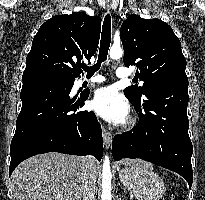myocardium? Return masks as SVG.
<instances>
[{"instance_id":"myocardium-1","label":"myocardium","mask_w":205,"mask_h":200,"mask_svg":"<svg viewBox=\"0 0 205 200\" xmlns=\"http://www.w3.org/2000/svg\"><path fill=\"white\" fill-rule=\"evenodd\" d=\"M135 125H136V120H135V118L130 117V118L125 122V124L123 125V129H124L125 131H128V130L133 129V128L135 127Z\"/></svg>"}]
</instances>
